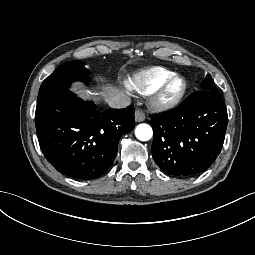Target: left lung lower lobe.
Returning <instances> with one entry per match:
<instances>
[{"label": "left lung lower lobe", "mask_w": 255, "mask_h": 255, "mask_svg": "<svg viewBox=\"0 0 255 255\" xmlns=\"http://www.w3.org/2000/svg\"><path fill=\"white\" fill-rule=\"evenodd\" d=\"M227 119L223 100L212 91L196 92L178 108L151 116L155 162L175 176L204 172L222 149Z\"/></svg>", "instance_id": "1"}]
</instances>
